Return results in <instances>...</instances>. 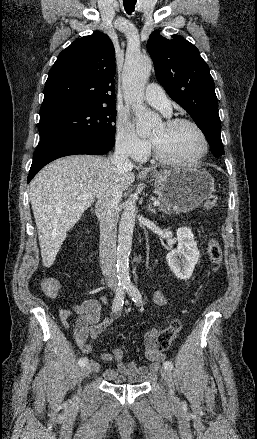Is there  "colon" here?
Here are the masks:
<instances>
[{
    "mask_svg": "<svg viewBox=\"0 0 257 439\" xmlns=\"http://www.w3.org/2000/svg\"><path fill=\"white\" fill-rule=\"evenodd\" d=\"M217 201L218 197L216 195L212 194L208 196L204 203L205 208L208 210L213 209ZM208 254L214 271H217L222 262V249L216 237H212L209 241ZM59 286L60 284L57 279L49 278L43 282V289L48 295H54L58 291ZM180 330L181 322L178 319L173 320L168 328L159 330L155 339L157 350H165Z\"/></svg>",
    "mask_w": 257,
    "mask_h": 439,
    "instance_id": "obj_1",
    "label": "colon"
}]
</instances>
